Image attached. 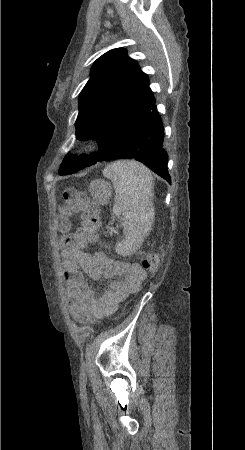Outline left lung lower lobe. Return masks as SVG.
<instances>
[{"mask_svg": "<svg viewBox=\"0 0 245 450\" xmlns=\"http://www.w3.org/2000/svg\"><path fill=\"white\" fill-rule=\"evenodd\" d=\"M164 128L155 102L144 115L141 123L119 150L102 155L101 161L114 159H136L147 165L152 171L171 183L167 170L168 155L163 148ZM98 157V154L94 155Z\"/></svg>", "mask_w": 245, "mask_h": 450, "instance_id": "left-lung-lower-lobe-1", "label": "left lung lower lobe"}]
</instances>
